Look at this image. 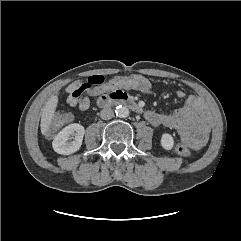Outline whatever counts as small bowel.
<instances>
[{
    "label": "small bowel",
    "mask_w": 241,
    "mask_h": 241,
    "mask_svg": "<svg viewBox=\"0 0 241 241\" xmlns=\"http://www.w3.org/2000/svg\"><path fill=\"white\" fill-rule=\"evenodd\" d=\"M70 92L71 85L66 88L68 104L78 106L82 112L87 111L90 107L89 99L72 97ZM177 95L186 98L182 108L173 112L147 110L144 114L145 119L153 126L175 129L187 147L200 149L207 143L210 131V118L206 106L198 96H186L183 91H178Z\"/></svg>",
    "instance_id": "small-bowel-1"
}]
</instances>
